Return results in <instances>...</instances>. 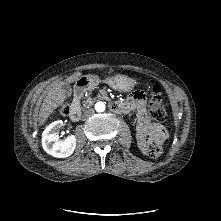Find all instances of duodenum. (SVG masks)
<instances>
[{
    "label": "duodenum",
    "instance_id": "410a0bca",
    "mask_svg": "<svg viewBox=\"0 0 221 221\" xmlns=\"http://www.w3.org/2000/svg\"><path fill=\"white\" fill-rule=\"evenodd\" d=\"M92 85V79L84 78L81 79L76 88H75V96L74 101L72 103L69 116L72 120L76 121L79 120L81 116V106H80V99L83 96L85 90ZM109 107L113 112L122 113L128 112V107L121 101H111L109 102Z\"/></svg>",
    "mask_w": 221,
    "mask_h": 221
}]
</instances>
